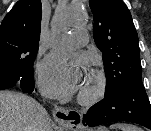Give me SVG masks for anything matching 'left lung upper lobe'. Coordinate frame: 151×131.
Masks as SVG:
<instances>
[{
    "label": "left lung upper lobe",
    "mask_w": 151,
    "mask_h": 131,
    "mask_svg": "<svg viewBox=\"0 0 151 131\" xmlns=\"http://www.w3.org/2000/svg\"><path fill=\"white\" fill-rule=\"evenodd\" d=\"M94 41L103 53L106 92L110 95L132 79H142L138 37L122 0H89Z\"/></svg>",
    "instance_id": "left-lung-upper-lobe-1"
}]
</instances>
